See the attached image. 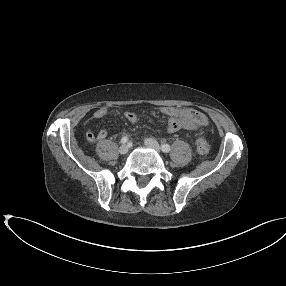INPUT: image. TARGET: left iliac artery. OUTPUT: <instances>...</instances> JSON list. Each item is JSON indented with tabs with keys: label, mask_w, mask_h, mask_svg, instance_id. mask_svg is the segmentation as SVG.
Returning <instances> with one entry per match:
<instances>
[{
	"label": "left iliac artery",
	"mask_w": 286,
	"mask_h": 286,
	"mask_svg": "<svg viewBox=\"0 0 286 286\" xmlns=\"http://www.w3.org/2000/svg\"><path fill=\"white\" fill-rule=\"evenodd\" d=\"M161 149L163 152L168 153L171 150V147L168 144H162Z\"/></svg>",
	"instance_id": "obj_1"
}]
</instances>
